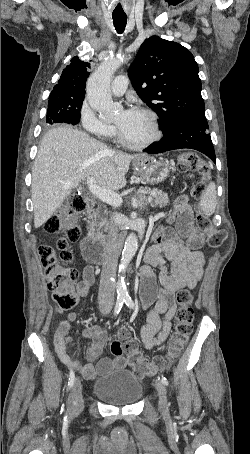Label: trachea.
<instances>
[{
  "label": "trachea",
  "mask_w": 250,
  "mask_h": 454,
  "mask_svg": "<svg viewBox=\"0 0 250 454\" xmlns=\"http://www.w3.org/2000/svg\"><path fill=\"white\" fill-rule=\"evenodd\" d=\"M113 23L117 33L121 34L124 32L126 23H127V16H116L113 15Z\"/></svg>",
  "instance_id": "3493384b"
}]
</instances>
